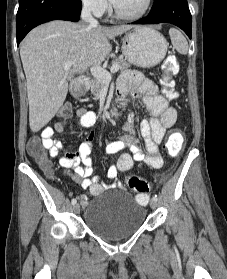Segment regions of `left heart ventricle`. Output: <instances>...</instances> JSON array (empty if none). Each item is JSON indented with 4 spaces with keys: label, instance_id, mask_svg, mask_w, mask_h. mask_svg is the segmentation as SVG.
Wrapping results in <instances>:
<instances>
[{
    "label": "left heart ventricle",
    "instance_id": "left-heart-ventricle-1",
    "mask_svg": "<svg viewBox=\"0 0 227 279\" xmlns=\"http://www.w3.org/2000/svg\"><path fill=\"white\" fill-rule=\"evenodd\" d=\"M114 4L122 13L134 14L143 8L145 0H115Z\"/></svg>",
    "mask_w": 227,
    "mask_h": 279
}]
</instances>
